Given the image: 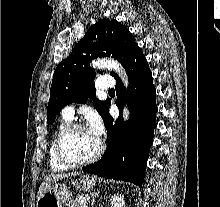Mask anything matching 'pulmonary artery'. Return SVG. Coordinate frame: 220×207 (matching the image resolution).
<instances>
[{
    "label": "pulmonary artery",
    "instance_id": "obj_1",
    "mask_svg": "<svg viewBox=\"0 0 220 207\" xmlns=\"http://www.w3.org/2000/svg\"><path fill=\"white\" fill-rule=\"evenodd\" d=\"M115 86V80L111 76H101L96 81L97 89L104 91L112 89ZM75 114V105L69 104L65 106L62 110V115L65 118L72 119Z\"/></svg>",
    "mask_w": 220,
    "mask_h": 207
}]
</instances>
